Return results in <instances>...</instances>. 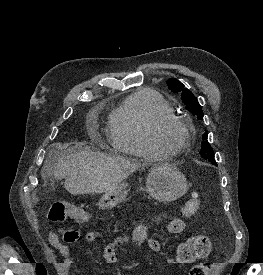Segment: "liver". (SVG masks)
Instances as JSON below:
<instances>
[{"mask_svg": "<svg viewBox=\"0 0 263 275\" xmlns=\"http://www.w3.org/2000/svg\"><path fill=\"white\" fill-rule=\"evenodd\" d=\"M139 167L140 164L119 156L82 150L59 156L53 167L51 161H46L42 176L51 173L55 179L64 178L65 189L73 195L106 193Z\"/></svg>", "mask_w": 263, "mask_h": 275, "instance_id": "6515ba94", "label": "liver"}]
</instances>
